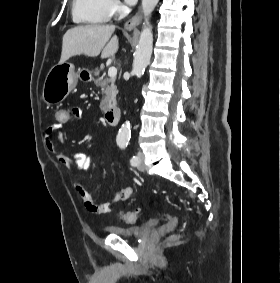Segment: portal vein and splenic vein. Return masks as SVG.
Returning a JSON list of instances; mask_svg holds the SVG:
<instances>
[{
    "instance_id": "obj_1",
    "label": "portal vein and splenic vein",
    "mask_w": 280,
    "mask_h": 283,
    "mask_svg": "<svg viewBox=\"0 0 280 283\" xmlns=\"http://www.w3.org/2000/svg\"><path fill=\"white\" fill-rule=\"evenodd\" d=\"M116 75H117V69H116L115 67H110V68L108 69V76H109L110 78H115Z\"/></svg>"
}]
</instances>
